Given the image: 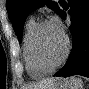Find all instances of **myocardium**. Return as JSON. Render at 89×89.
<instances>
[{"instance_id":"obj_1","label":"myocardium","mask_w":89,"mask_h":89,"mask_svg":"<svg viewBox=\"0 0 89 89\" xmlns=\"http://www.w3.org/2000/svg\"><path fill=\"white\" fill-rule=\"evenodd\" d=\"M49 23H51L49 20H43L39 22L33 32L32 39H31V51H32L33 59L37 67L41 70L46 71L47 73H50L55 69H57L66 60L70 49V43L68 37L63 33L65 47L61 57L57 62H55L52 65H46L43 63L38 51V39L42 31V28Z\"/></svg>"}]
</instances>
